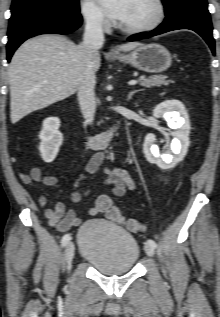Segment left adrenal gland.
I'll return each mask as SVG.
<instances>
[{
	"mask_svg": "<svg viewBox=\"0 0 220 317\" xmlns=\"http://www.w3.org/2000/svg\"><path fill=\"white\" fill-rule=\"evenodd\" d=\"M136 92H138V90L131 91V92L128 94L127 100H131L132 96H133Z\"/></svg>",
	"mask_w": 220,
	"mask_h": 317,
	"instance_id": "obj_1",
	"label": "left adrenal gland"
}]
</instances>
